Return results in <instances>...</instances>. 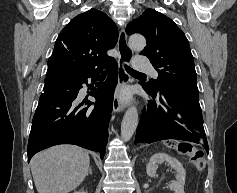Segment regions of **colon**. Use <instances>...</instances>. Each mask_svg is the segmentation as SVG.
Listing matches in <instances>:
<instances>
[{
	"instance_id": "5ec220e1",
	"label": "colon",
	"mask_w": 237,
	"mask_h": 193,
	"mask_svg": "<svg viewBox=\"0 0 237 193\" xmlns=\"http://www.w3.org/2000/svg\"><path fill=\"white\" fill-rule=\"evenodd\" d=\"M177 149L189 156L190 160L198 170H204L206 166V160L204 152L202 150L197 149L188 143H182L178 145Z\"/></svg>"
}]
</instances>
